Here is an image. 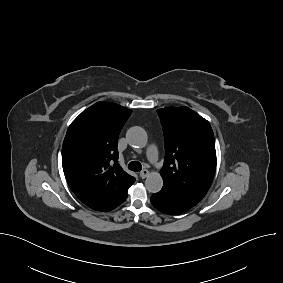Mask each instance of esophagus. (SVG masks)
I'll return each instance as SVG.
<instances>
[{"instance_id":"34e87169","label":"esophagus","mask_w":283,"mask_h":283,"mask_svg":"<svg viewBox=\"0 0 283 283\" xmlns=\"http://www.w3.org/2000/svg\"><path fill=\"white\" fill-rule=\"evenodd\" d=\"M149 171L148 170H146V169H144V170H142L141 172H140V177L142 178V179H144V178H146V177H148L149 176Z\"/></svg>"}]
</instances>
